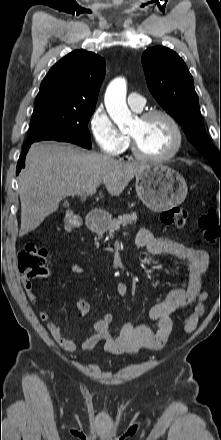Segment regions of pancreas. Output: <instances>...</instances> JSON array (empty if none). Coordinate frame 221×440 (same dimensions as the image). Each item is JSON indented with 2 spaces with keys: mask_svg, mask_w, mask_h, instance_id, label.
I'll return each mask as SVG.
<instances>
[{
  "mask_svg": "<svg viewBox=\"0 0 221 440\" xmlns=\"http://www.w3.org/2000/svg\"><path fill=\"white\" fill-rule=\"evenodd\" d=\"M136 220H137V214L135 212H133L131 214L119 215L118 218L110 221V223L108 224V226L105 229L99 230L98 236H99V238L102 237L103 233L106 231H109L110 236H112V234L115 231H118L121 226L126 227L129 224L131 225L133 223H136Z\"/></svg>",
  "mask_w": 221,
  "mask_h": 440,
  "instance_id": "1",
  "label": "pancreas"
}]
</instances>
